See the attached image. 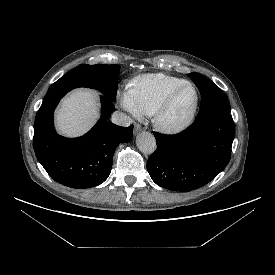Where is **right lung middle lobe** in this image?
<instances>
[{
  "mask_svg": "<svg viewBox=\"0 0 275 275\" xmlns=\"http://www.w3.org/2000/svg\"><path fill=\"white\" fill-rule=\"evenodd\" d=\"M119 65H80L57 80L48 93L71 90L78 87L97 89L110 100H114L117 93V79Z\"/></svg>",
  "mask_w": 275,
  "mask_h": 275,
  "instance_id": "obj_1",
  "label": "right lung middle lobe"
}]
</instances>
